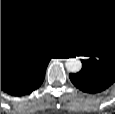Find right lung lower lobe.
I'll return each mask as SVG.
<instances>
[{
  "instance_id": "1",
  "label": "right lung lower lobe",
  "mask_w": 115,
  "mask_h": 114,
  "mask_svg": "<svg viewBox=\"0 0 115 114\" xmlns=\"http://www.w3.org/2000/svg\"><path fill=\"white\" fill-rule=\"evenodd\" d=\"M49 57L18 70L1 71V90L12 95L22 96L37 89L43 82Z\"/></svg>"
}]
</instances>
